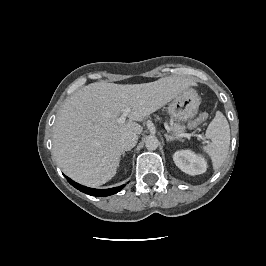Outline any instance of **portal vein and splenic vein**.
Masks as SVG:
<instances>
[{"instance_id": "18ae733b", "label": "portal vein and splenic vein", "mask_w": 266, "mask_h": 266, "mask_svg": "<svg viewBox=\"0 0 266 266\" xmlns=\"http://www.w3.org/2000/svg\"><path fill=\"white\" fill-rule=\"evenodd\" d=\"M131 112V109L129 107H126L123 112L121 113V115L119 116V118L117 119V123L122 124L125 122L127 116L129 115V113ZM165 128L168 132L172 133L171 128L165 124ZM193 134H188V133H182V134H178V136L180 137H186V138H190Z\"/></svg>"}]
</instances>
